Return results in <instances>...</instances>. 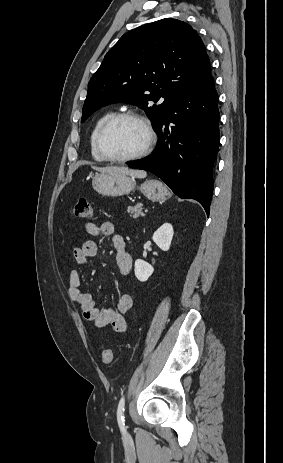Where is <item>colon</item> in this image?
<instances>
[{"label":"colon","mask_w":283,"mask_h":463,"mask_svg":"<svg viewBox=\"0 0 283 463\" xmlns=\"http://www.w3.org/2000/svg\"><path fill=\"white\" fill-rule=\"evenodd\" d=\"M93 214L92 204L85 198H81L72 209V215L79 220H86L91 218ZM114 360V351L106 349L102 353V361L105 365L112 364Z\"/></svg>","instance_id":"5ec220e1"}]
</instances>
